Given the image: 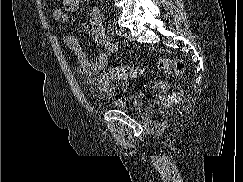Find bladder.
<instances>
[{
	"instance_id": "31cf9c89",
	"label": "bladder",
	"mask_w": 243,
	"mask_h": 182,
	"mask_svg": "<svg viewBox=\"0 0 243 182\" xmlns=\"http://www.w3.org/2000/svg\"><path fill=\"white\" fill-rule=\"evenodd\" d=\"M109 105L114 109L137 113L142 110L144 101L138 95H129L124 98H114L110 100Z\"/></svg>"
}]
</instances>
